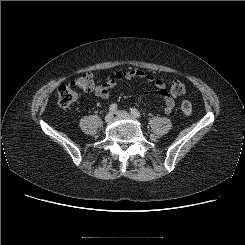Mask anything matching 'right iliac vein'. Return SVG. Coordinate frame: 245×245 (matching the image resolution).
I'll return each mask as SVG.
<instances>
[{"label":"right iliac vein","mask_w":245,"mask_h":245,"mask_svg":"<svg viewBox=\"0 0 245 245\" xmlns=\"http://www.w3.org/2000/svg\"><path fill=\"white\" fill-rule=\"evenodd\" d=\"M113 119V113H108L106 116H105V121L106 122H109Z\"/></svg>","instance_id":"obj_1"}]
</instances>
